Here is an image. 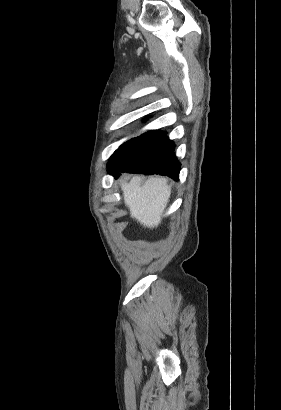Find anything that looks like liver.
I'll return each mask as SVG.
<instances>
[{
    "label": "liver",
    "instance_id": "6515ba94",
    "mask_svg": "<svg viewBox=\"0 0 281 410\" xmlns=\"http://www.w3.org/2000/svg\"><path fill=\"white\" fill-rule=\"evenodd\" d=\"M125 205L132 218L148 228L157 227L167 207L171 188L165 178L151 177L141 185V177L134 176L130 182H121Z\"/></svg>",
    "mask_w": 281,
    "mask_h": 410
}]
</instances>
